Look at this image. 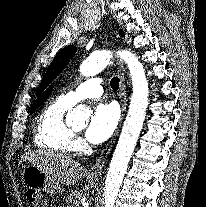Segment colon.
Returning a JSON list of instances; mask_svg holds the SVG:
<instances>
[{
	"mask_svg": "<svg viewBox=\"0 0 206 207\" xmlns=\"http://www.w3.org/2000/svg\"><path fill=\"white\" fill-rule=\"evenodd\" d=\"M27 197L33 207H48L47 200L39 192L29 191Z\"/></svg>",
	"mask_w": 206,
	"mask_h": 207,
	"instance_id": "obj_1",
	"label": "colon"
}]
</instances>
